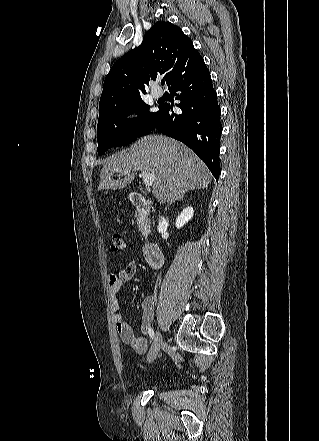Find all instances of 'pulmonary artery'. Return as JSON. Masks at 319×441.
Segmentation results:
<instances>
[{
  "instance_id": "1",
  "label": "pulmonary artery",
  "mask_w": 319,
  "mask_h": 441,
  "mask_svg": "<svg viewBox=\"0 0 319 441\" xmlns=\"http://www.w3.org/2000/svg\"><path fill=\"white\" fill-rule=\"evenodd\" d=\"M151 94L154 98H160L162 96L163 92L159 89L153 88L151 90Z\"/></svg>"
}]
</instances>
